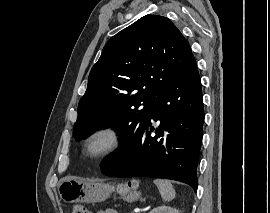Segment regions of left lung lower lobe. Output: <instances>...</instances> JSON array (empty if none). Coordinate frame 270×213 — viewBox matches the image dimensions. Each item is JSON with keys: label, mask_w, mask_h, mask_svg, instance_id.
I'll return each mask as SVG.
<instances>
[{"label": "left lung lower lobe", "mask_w": 270, "mask_h": 213, "mask_svg": "<svg viewBox=\"0 0 270 213\" xmlns=\"http://www.w3.org/2000/svg\"><path fill=\"white\" fill-rule=\"evenodd\" d=\"M160 120L156 136L151 120ZM204 122L201 81L196 63L178 75L157 97L147 123L101 163L112 177H155L178 180L196 191L197 164Z\"/></svg>", "instance_id": "1"}]
</instances>
